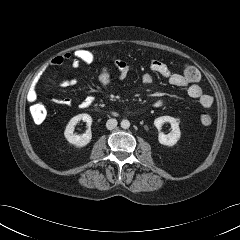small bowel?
I'll use <instances>...</instances> for the list:
<instances>
[{
	"instance_id": "small-bowel-1",
	"label": "small bowel",
	"mask_w": 240,
	"mask_h": 240,
	"mask_svg": "<svg viewBox=\"0 0 240 240\" xmlns=\"http://www.w3.org/2000/svg\"><path fill=\"white\" fill-rule=\"evenodd\" d=\"M70 62L68 54H60L55 56L53 59L50 60L49 64L50 65H62L63 63ZM115 65L118 69V77L120 79H126L129 74V65L123 61V60H117L115 62ZM149 68L151 72H146L142 74L141 76V81L144 84H150L153 82V74H158L165 79L168 80V82L175 87H187V94L190 98L197 100L201 106L205 108H209L213 105L214 99L211 95L205 94L203 92V89L201 88L200 85L198 84H189L190 82L186 80L184 75L172 72L169 67L163 63L162 61L153 59L150 61ZM38 79L34 80L29 87L27 91V100L29 102H34L37 99V84H38ZM98 81L100 85L103 88H108L111 83V75L110 72L103 68L99 75H98ZM76 84L75 79L71 78H62L59 82V85L63 88L71 87ZM93 99L92 97L86 98L83 102L80 103L79 107L80 108H87L91 105ZM53 102L58 105H63V106H71L72 101L69 98H57L53 99ZM164 101L162 99H159L155 102L156 107H160L163 105Z\"/></svg>"
}]
</instances>
